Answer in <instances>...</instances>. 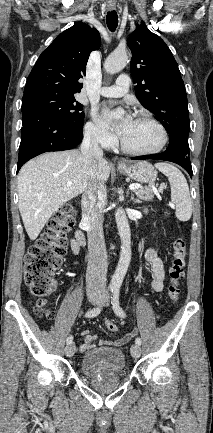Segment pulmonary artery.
<instances>
[{"label":"pulmonary artery","mask_w":213,"mask_h":433,"mask_svg":"<svg viewBox=\"0 0 213 433\" xmlns=\"http://www.w3.org/2000/svg\"><path fill=\"white\" fill-rule=\"evenodd\" d=\"M130 80L125 74L120 75L112 86H104L100 89V94L105 97H121L128 92Z\"/></svg>","instance_id":"obj_1"}]
</instances>
